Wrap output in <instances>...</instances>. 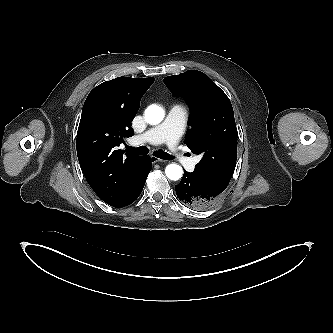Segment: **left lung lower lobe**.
<instances>
[{
    "instance_id": "obj_1",
    "label": "left lung lower lobe",
    "mask_w": 333,
    "mask_h": 333,
    "mask_svg": "<svg viewBox=\"0 0 333 333\" xmlns=\"http://www.w3.org/2000/svg\"><path fill=\"white\" fill-rule=\"evenodd\" d=\"M221 193L214 186L199 179L193 172L184 171L180 183L176 185V194L179 200L196 210L211 207Z\"/></svg>"
}]
</instances>
